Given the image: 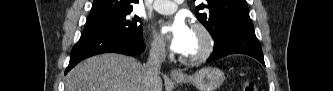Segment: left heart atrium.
I'll return each instance as SVG.
<instances>
[{
    "label": "left heart atrium",
    "instance_id": "39dd6f15",
    "mask_svg": "<svg viewBox=\"0 0 333 91\" xmlns=\"http://www.w3.org/2000/svg\"><path fill=\"white\" fill-rule=\"evenodd\" d=\"M191 32L192 29L180 15L161 26V34L167 40L170 49L179 54L186 50Z\"/></svg>",
    "mask_w": 333,
    "mask_h": 91
}]
</instances>
